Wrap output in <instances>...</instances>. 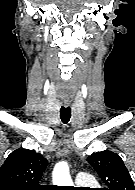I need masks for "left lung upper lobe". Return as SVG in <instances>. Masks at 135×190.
<instances>
[{"label":"left lung upper lobe","instance_id":"1","mask_svg":"<svg viewBox=\"0 0 135 190\" xmlns=\"http://www.w3.org/2000/svg\"><path fill=\"white\" fill-rule=\"evenodd\" d=\"M87 161L106 183L105 190H135L132 178L118 154L109 150L96 152Z\"/></svg>","mask_w":135,"mask_h":190}]
</instances>
